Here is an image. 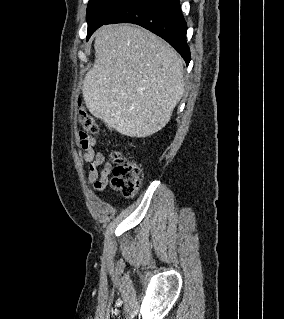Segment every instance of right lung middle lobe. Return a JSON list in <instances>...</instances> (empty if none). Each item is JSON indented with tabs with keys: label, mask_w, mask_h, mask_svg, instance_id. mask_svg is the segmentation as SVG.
I'll return each instance as SVG.
<instances>
[{
	"label": "right lung middle lobe",
	"mask_w": 284,
	"mask_h": 319,
	"mask_svg": "<svg viewBox=\"0 0 284 319\" xmlns=\"http://www.w3.org/2000/svg\"><path fill=\"white\" fill-rule=\"evenodd\" d=\"M134 0H89L87 7V38L100 26L105 24L114 14Z\"/></svg>",
	"instance_id": "dd1d6c3e"
}]
</instances>
